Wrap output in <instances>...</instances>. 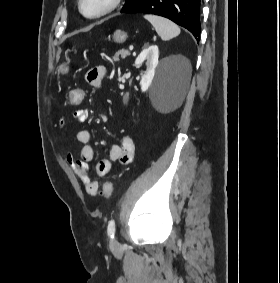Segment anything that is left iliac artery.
Masks as SVG:
<instances>
[{"label": "left iliac artery", "mask_w": 280, "mask_h": 283, "mask_svg": "<svg viewBox=\"0 0 280 283\" xmlns=\"http://www.w3.org/2000/svg\"><path fill=\"white\" fill-rule=\"evenodd\" d=\"M108 236L113 239L115 235V221L112 219L109 221L108 228H107Z\"/></svg>", "instance_id": "obj_1"}]
</instances>
